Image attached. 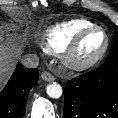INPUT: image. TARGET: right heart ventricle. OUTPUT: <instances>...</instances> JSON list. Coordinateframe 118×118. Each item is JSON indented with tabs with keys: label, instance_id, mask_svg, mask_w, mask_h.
I'll use <instances>...</instances> for the list:
<instances>
[{
	"label": "right heart ventricle",
	"instance_id": "e07e8e85",
	"mask_svg": "<svg viewBox=\"0 0 118 118\" xmlns=\"http://www.w3.org/2000/svg\"><path fill=\"white\" fill-rule=\"evenodd\" d=\"M94 25L87 19H72L53 25L46 30L43 36L42 48L48 54H60L80 31Z\"/></svg>",
	"mask_w": 118,
	"mask_h": 118
}]
</instances>
